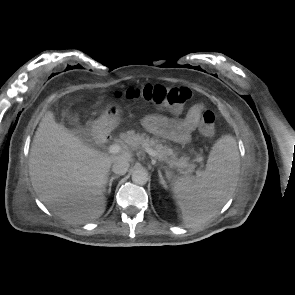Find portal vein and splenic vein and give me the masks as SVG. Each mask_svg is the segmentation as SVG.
Wrapping results in <instances>:
<instances>
[{
  "label": "portal vein and splenic vein",
  "mask_w": 295,
  "mask_h": 295,
  "mask_svg": "<svg viewBox=\"0 0 295 295\" xmlns=\"http://www.w3.org/2000/svg\"><path fill=\"white\" fill-rule=\"evenodd\" d=\"M146 149V152L150 155V156H152V157H154L155 159H159L158 158V154L153 150V149H151V148H149V147H146L145 148ZM121 151V146L119 145V144H112V145H110V147H109V152L111 153V154H117V153H119ZM160 160V159H159ZM169 164L171 163L170 161H167Z\"/></svg>",
  "instance_id": "18ae733b"
}]
</instances>
